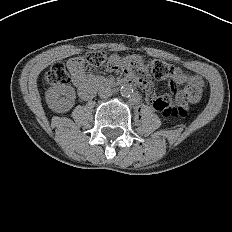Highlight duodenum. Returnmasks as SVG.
I'll return each mask as SVG.
<instances>
[{"mask_svg": "<svg viewBox=\"0 0 232 232\" xmlns=\"http://www.w3.org/2000/svg\"><path fill=\"white\" fill-rule=\"evenodd\" d=\"M136 81L132 77H128L119 81L106 80V79H95L89 82L86 87L80 90V95L84 99H90L95 94L99 87H121L127 85H133Z\"/></svg>", "mask_w": 232, "mask_h": 232, "instance_id": "410a0bca", "label": "duodenum"}]
</instances>
